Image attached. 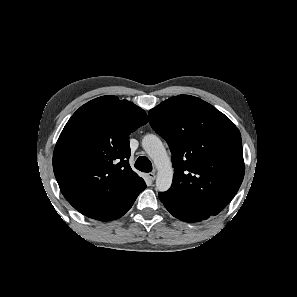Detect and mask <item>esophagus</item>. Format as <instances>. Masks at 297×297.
<instances>
[{
  "label": "esophagus",
  "instance_id": "1",
  "mask_svg": "<svg viewBox=\"0 0 297 297\" xmlns=\"http://www.w3.org/2000/svg\"><path fill=\"white\" fill-rule=\"evenodd\" d=\"M148 178H149L151 181H154L155 178H156L155 173H154V172H150V173H148Z\"/></svg>",
  "mask_w": 297,
  "mask_h": 297
}]
</instances>
